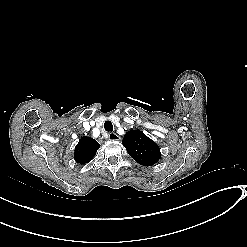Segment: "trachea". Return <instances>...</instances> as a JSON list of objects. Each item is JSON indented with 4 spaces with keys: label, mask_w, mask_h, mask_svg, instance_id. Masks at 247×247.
<instances>
[{
    "label": "trachea",
    "mask_w": 247,
    "mask_h": 247,
    "mask_svg": "<svg viewBox=\"0 0 247 247\" xmlns=\"http://www.w3.org/2000/svg\"><path fill=\"white\" fill-rule=\"evenodd\" d=\"M104 129L106 132H113V124L111 123V121L104 122Z\"/></svg>",
    "instance_id": "1"
}]
</instances>
